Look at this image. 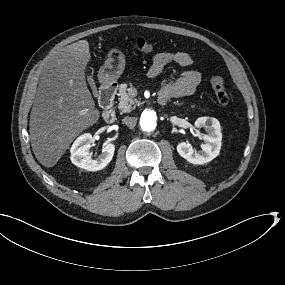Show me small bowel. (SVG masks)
Wrapping results in <instances>:
<instances>
[{"instance_id":"obj_1","label":"small bowel","mask_w":285,"mask_h":285,"mask_svg":"<svg viewBox=\"0 0 285 285\" xmlns=\"http://www.w3.org/2000/svg\"><path fill=\"white\" fill-rule=\"evenodd\" d=\"M176 64L187 67L194 64L192 56L186 52H159L152 60L148 76L158 77L166 66ZM201 83V75L195 70L184 71L180 77L166 82L160 89L159 99L165 102L171 98L187 97L192 95Z\"/></svg>"}]
</instances>
